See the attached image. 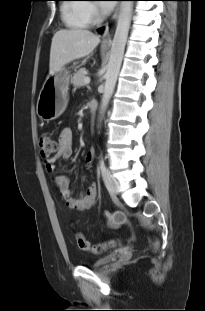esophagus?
<instances>
[{
  "mask_svg": "<svg viewBox=\"0 0 205 311\" xmlns=\"http://www.w3.org/2000/svg\"><path fill=\"white\" fill-rule=\"evenodd\" d=\"M119 13H120V6L117 5L109 23H107V25H106V30H105L103 40H102V46H110L114 25H115V22L117 21V19L119 17Z\"/></svg>",
  "mask_w": 205,
  "mask_h": 311,
  "instance_id": "esophagus-1",
  "label": "esophagus"
}]
</instances>
